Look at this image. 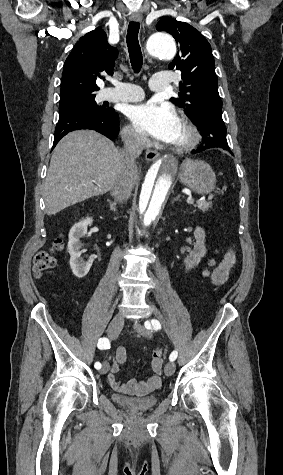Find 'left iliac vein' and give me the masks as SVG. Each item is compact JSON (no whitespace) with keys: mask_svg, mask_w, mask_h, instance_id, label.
I'll list each match as a JSON object with an SVG mask.
<instances>
[{"mask_svg":"<svg viewBox=\"0 0 283 475\" xmlns=\"http://www.w3.org/2000/svg\"><path fill=\"white\" fill-rule=\"evenodd\" d=\"M133 328L135 329L136 332H138L139 334H141L145 338H151L152 337V334H151L150 330L145 328L140 323L135 322L133 324ZM175 370H176V365L173 361H170L165 365L164 372H165L166 376H171L175 372Z\"/></svg>","mask_w":283,"mask_h":475,"instance_id":"1","label":"left iliac vein"}]
</instances>
